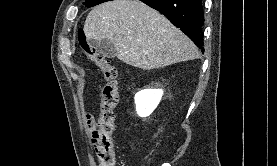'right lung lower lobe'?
I'll return each mask as SVG.
<instances>
[{
	"mask_svg": "<svg viewBox=\"0 0 277 166\" xmlns=\"http://www.w3.org/2000/svg\"><path fill=\"white\" fill-rule=\"evenodd\" d=\"M165 15L199 48L203 49L202 0H140Z\"/></svg>",
	"mask_w": 277,
	"mask_h": 166,
	"instance_id": "1",
	"label": "right lung lower lobe"
}]
</instances>
